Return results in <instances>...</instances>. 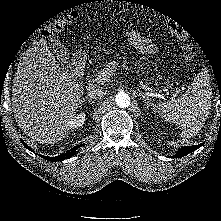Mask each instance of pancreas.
Wrapping results in <instances>:
<instances>
[{"mask_svg":"<svg viewBox=\"0 0 221 221\" xmlns=\"http://www.w3.org/2000/svg\"><path fill=\"white\" fill-rule=\"evenodd\" d=\"M110 69V68H113V69H116V66H115V62H109L104 68H103V70H105V69ZM102 70V71H103ZM110 77H111V75H108V80L110 79ZM162 78L161 77H156V76H152V77H150V78H146V79H144L146 82L147 81H150V82H157V81H159V80H161ZM107 80V81H108ZM104 82V81H103ZM147 86H148V84H146Z\"/></svg>","mask_w":221,"mask_h":221,"instance_id":"pancreas-1","label":"pancreas"}]
</instances>
